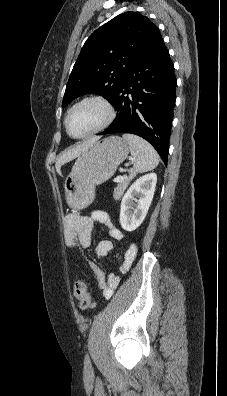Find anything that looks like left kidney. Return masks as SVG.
I'll use <instances>...</instances> for the list:
<instances>
[{
  "label": "left kidney",
  "mask_w": 227,
  "mask_h": 396,
  "mask_svg": "<svg viewBox=\"0 0 227 396\" xmlns=\"http://www.w3.org/2000/svg\"><path fill=\"white\" fill-rule=\"evenodd\" d=\"M157 175L149 173L138 178L121 201L120 224L126 231H134L145 219L155 192Z\"/></svg>",
  "instance_id": "left-kidney-1"
}]
</instances>
